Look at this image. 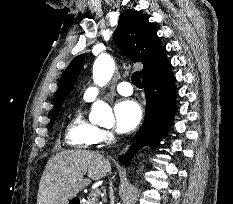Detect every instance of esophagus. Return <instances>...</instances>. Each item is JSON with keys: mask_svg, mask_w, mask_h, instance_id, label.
<instances>
[{"mask_svg": "<svg viewBox=\"0 0 233 204\" xmlns=\"http://www.w3.org/2000/svg\"><path fill=\"white\" fill-rule=\"evenodd\" d=\"M128 147H129V145H128V146H126V147L123 149V151H122V152H125V151L128 149Z\"/></svg>", "mask_w": 233, "mask_h": 204, "instance_id": "1", "label": "esophagus"}]
</instances>
